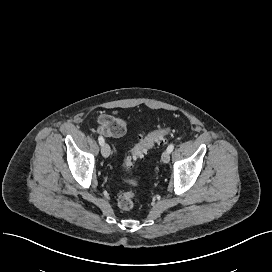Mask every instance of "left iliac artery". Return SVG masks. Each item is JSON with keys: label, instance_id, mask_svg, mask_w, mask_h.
<instances>
[{"label": "left iliac artery", "instance_id": "44dca946", "mask_svg": "<svg viewBox=\"0 0 272 272\" xmlns=\"http://www.w3.org/2000/svg\"><path fill=\"white\" fill-rule=\"evenodd\" d=\"M174 149V144L171 143L168 147H167V150L171 153Z\"/></svg>", "mask_w": 272, "mask_h": 272}]
</instances>
